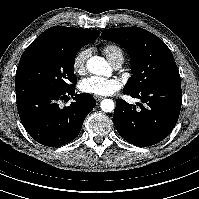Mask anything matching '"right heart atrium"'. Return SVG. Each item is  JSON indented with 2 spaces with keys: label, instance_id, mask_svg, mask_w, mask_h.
<instances>
[{
  "label": "right heart atrium",
  "instance_id": "obj_1",
  "mask_svg": "<svg viewBox=\"0 0 199 199\" xmlns=\"http://www.w3.org/2000/svg\"><path fill=\"white\" fill-rule=\"evenodd\" d=\"M90 54V49H81L74 56L72 68L77 75H83L86 72V64Z\"/></svg>",
  "mask_w": 199,
  "mask_h": 199
}]
</instances>
